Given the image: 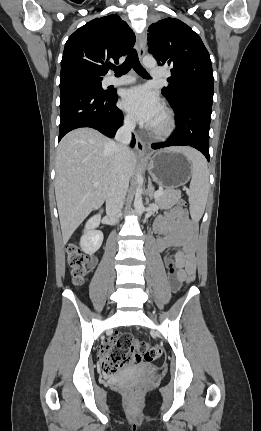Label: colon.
<instances>
[{"instance_id":"colon-1","label":"colon","mask_w":261,"mask_h":431,"mask_svg":"<svg viewBox=\"0 0 261 431\" xmlns=\"http://www.w3.org/2000/svg\"><path fill=\"white\" fill-rule=\"evenodd\" d=\"M180 207H185L186 202L180 201ZM67 263L72 275L73 282L76 285H81L87 275V257L81 251L76 242H71L66 246ZM195 273L190 272L187 276V282L194 280ZM143 343L137 342L131 334L121 333L112 338L110 342L102 349V370L109 375L118 373L124 366L138 364L142 357L145 361L151 362L158 358L161 353V344L155 343L154 347H150L148 353L142 356L139 353L140 345ZM139 388L134 387L130 393L137 394Z\"/></svg>"}]
</instances>
